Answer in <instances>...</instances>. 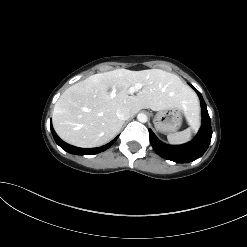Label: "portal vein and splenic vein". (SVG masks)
Instances as JSON below:
<instances>
[{"instance_id":"18ae733b","label":"portal vein and splenic vein","mask_w":247,"mask_h":247,"mask_svg":"<svg viewBox=\"0 0 247 247\" xmlns=\"http://www.w3.org/2000/svg\"><path fill=\"white\" fill-rule=\"evenodd\" d=\"M142 87H143V84L136 83L134 86L128 89V94L132 95L134 92L139 91Z\"/></svg>"}]
</instances>
